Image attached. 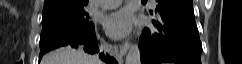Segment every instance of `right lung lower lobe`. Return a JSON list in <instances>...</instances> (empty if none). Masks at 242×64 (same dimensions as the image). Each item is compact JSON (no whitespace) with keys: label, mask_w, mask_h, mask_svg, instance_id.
<instances>
[{"label":"right lung lower lobe","mask_w":242,"mask_h":64,"mask_svg":"<svg viewBox=\"0 0 242 64\" xmlns=\"http://www.w3.org/2000/svg\"><path fill=\"white\" fill-rule=\"evenodd\" d=\"M68 45L73 47V48L83 47L84 51L87 52V53H90V54H94V53L99 52V48H98L97 43H96V35L95 34L88 39L70 42ZM41 57L42 56H39L40 59H41ZM99 57L104 62H106L107 64H117V61L113 57L106 55L104 53H100Z\"/></svg>","instance_id":"1"}]
</instances>
